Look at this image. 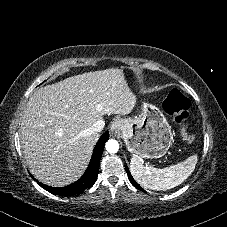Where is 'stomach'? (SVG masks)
Wrapping results in <instances>:
<instances>
[{
  "instance_id": "obj_1",
  "label": "stomach",
  "mask_w": 227,
  "mask_h": 227,
  "mask_svg": "<svg viewBox=\"0 0 227 227\" xmlns=\"http://www.w3.org/2000/svg\"><path fill=\"white\" fill-rule=\"evenodd\" d=\"M121 134L129 152L149 159L164 156L173 141L165 116L149 103L143 104L138 117L122 119Z\"/></svg>"
}]
</instances>
